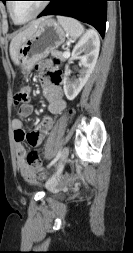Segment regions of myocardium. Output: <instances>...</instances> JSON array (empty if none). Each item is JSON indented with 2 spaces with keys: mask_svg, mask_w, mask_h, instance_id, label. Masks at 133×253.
Returning <instances> with one entry per match:
<instances>
[{
  "mask_svg": "<svg viewBox=\"0 0 133 253\" xmlns=\"http://www.w3.org/2000/svg\"><path fill=\"white\" fill-rule=\"evenodd\" d=\"M11 3H12V2H8V4H7V9H8V12H9V15H10L12 21H13L14 23H16V24H25V23H27V22L33 20L34 18H36L37 16H39V15L45 10V8L47 7V1L44 0V1H42L41 6L37 9V11H36L34 14H32L30 17L26 18L25 20L18 21V20L14 17V15H13L12 8H11Z\"/></svg>",
  "mask_w": 133,
  "mask_h": 253,
  "instance_id": "myocardium-1",
  "label": "myocardium"
}]
</instances>
